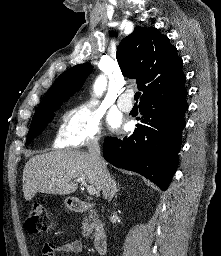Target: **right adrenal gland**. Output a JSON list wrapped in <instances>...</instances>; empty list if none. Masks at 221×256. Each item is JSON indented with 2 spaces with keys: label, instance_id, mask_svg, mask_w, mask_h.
<instances>
[{
  "label": "right adrenal gland",
  "instance_id": "obj_1",
  "mask_svg": "<svg viewBox=\"0 0 221 256\" xmlns=\"http://www.w3.org/2000/svg\"><path fill=\"white\" fill-rule=\"evenodd\" d=\"M118 191H120V189L117 187V184H116V181H115L114 177H112V190H111V193H110L109 201H111L115 197V194Z\"/></svg>",
  "mask_w": 221,
  "mask_h": 256
}]
</instances>
